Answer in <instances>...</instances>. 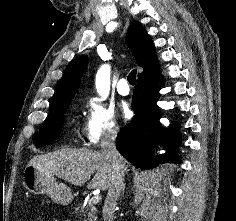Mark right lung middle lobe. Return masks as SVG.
<instances>
[{
	"label": "right lung middle lobe",
	"mask_w": 236,
	"mask_h": 221,
	"mask_svg": "<svg viewBox=\"0 0 236 221\" xmlns=\"http://www.w3.org/2000/svg\"><path fill=\"white\" fill-rule=\"evenodd\" d=\"M70 104V101L65 102L56 108L50 110L49 116L45 121L41 132L39 133L35 145L42 147L53 142L61 133L64 124V114Z\"/></svg>",
	"instance_id": "right-lung-middle-lobe-1"
}]
</instances>
